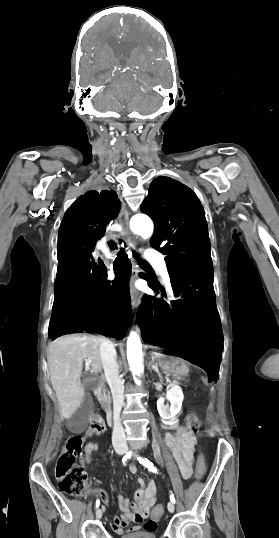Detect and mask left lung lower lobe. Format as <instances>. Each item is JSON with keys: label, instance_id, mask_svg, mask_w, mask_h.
<instances>
[{"label": "left lung lower lobe", "instance_id": "1", "mask_svg": "<svg viewBox=\"0 0 279 538\" xmlns=\"http://www.w3.org/2000/svg\"><path fill=\"white\" fill-rule=\"evenodd\" d=\"M177 300L144 296L138 310L142 337L155 346L176 351L204 369L214 381L221 362L223 334L216 309L213 267L170 275ZM155 292L165 290L148 280Z\"/></svg>", "mask_w": 279, "mask_h": 538}]
</instances>
